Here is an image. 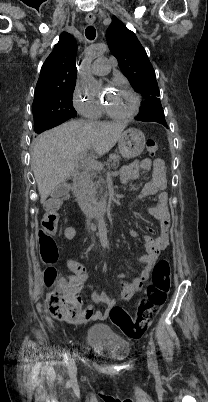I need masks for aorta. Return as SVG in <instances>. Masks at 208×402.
<instances>
[{"mask_svg":"<svg viewBox=\"0 0 208 402\" xmlns=\"http://www.w3.org/2000/svg\"><path fill=\"white\" fill-rule=\"evenodd\" d=\"M97 221H98L97 234L99 235L98 242L102 249H106L109 246V239L107 234L108 229L107 222L103 216H99L97 218Z\"/></svg>","mask_w":208,"mask_h":402,"instance_id":"762f6f07","label":"aorta"}]
</instances>
